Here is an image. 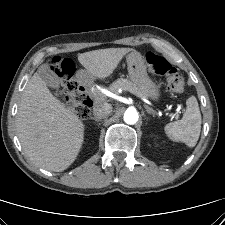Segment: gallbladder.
Listing matches in <instances>:
<instances>
[{
	"label": "gallbladder",
	"instance_id": "1",
	"mask_svg": "<svg viewBox=\"0 0 225 225\" xmlns=\"http://www.w3.org/2000/svg\"><path fill=\"white\" fill-rule=\"evenodd\" d=\"M40 78L51 88H58L60 80L48 64H42L37 71Z\"/></svg>",
	"mask_w": 225,
	"mask_h": 225
}]
</instances>
